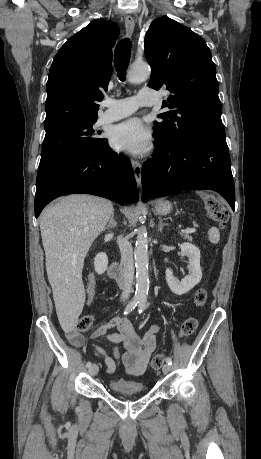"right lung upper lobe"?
<instances>
[{
  "label": "right lung upper lobe",
  "instance_id": "right-lung-upper-lobe-1",
  "mask_svg": "<svg viewBox=\"0 0 261 459\" xmlns=\"http://www.w3.org/2000/svg\"><path fill=\"white\" fill-rule=\"evenodd\" d=\"M119 30L98 19L72 36L55 56L47 81L45 128L55 124L97 119V101L107 91L112 50Z\"/></svg>",
  "mask_w": 261,
  "mask_h": 459
}]
</instances>
